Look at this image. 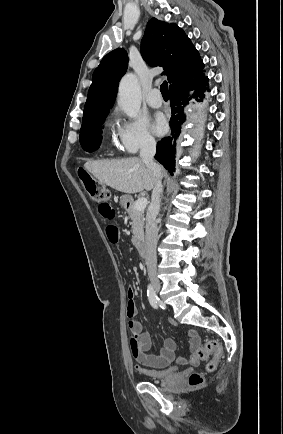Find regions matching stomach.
I'll return each mask as SVG.
<instances>
[{"mask_svg":"<svg viewBox=\"0 0 283 434\" xmlns=\"http://www.w3.org/2000/svg\"><path fill=\"white\" fill-rule=\"evenodd\" d=\"M129 203H132V197L130 195H123L120 197V204L126 208Z\"/></svg>","mask_w":283,"mask_h":434,"instance_id":"obj_1","label":"stomach"}]
</instances>
